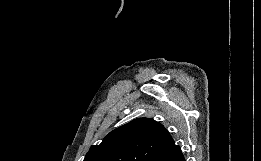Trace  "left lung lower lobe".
Here are the masks:
<instances>
[{
    "instance_id": "1",
    "label": "left lung lower lobe",
    "mask_w": 261,
    "mask_h": 161,
    "mask_svg": "<svg viewBox=\"0 0 261 161\" xmlns=\"http://www.w3.org/2000/svg\"><path fill=\"white\" fill-rule=\"evenodd\" d=\"M151 161H185L179 145L173 142L159 151Z\"/></svg>"
}]
</instances>
